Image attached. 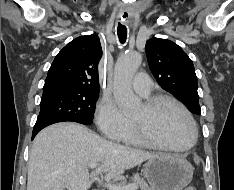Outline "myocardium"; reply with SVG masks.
Returning a JSON list of instances; mask_svg holds the SVG:
<instances>
[{"mask_svg":"<svg viewBox=\"0 0 234 190\" xmlns=\"http://www.w3.org/2000/svg\"><path fill=\"white\" fill-rule=\"evenodd\" d=\"M163 103H171L175 106H177L183 114L188 119L191 129H192V140L189 144L185 146H172L168 144L161 143L159 140L155 138V136L151 133L148 123L146 121H140L134 119V125L136 127L137 133L139 137L147 144L153 147L165 149V150H171L176 152H183L190 150L195 146L198 140V129L196 122L190 113V111L186 108L184 104H182L179 100L176 98L169 96V95H156L154 97H151L147 99L144 103V107L147 111V113L150 115L152 114L161 104Z\"/></svg>","mask_w":234,"mask_h":190,"instance_id":"1","label":"myocardium"}]
</instances>
